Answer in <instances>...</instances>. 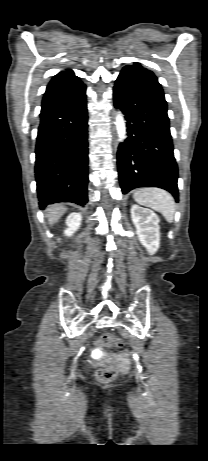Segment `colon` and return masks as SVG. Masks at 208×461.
Masks as SVG:
<instances>
[{
	"label": "colon",
	"instance_id": "colon-1",
	"mask_svg": "<svg viewBox=\"0 0 208 461\" xmlns=\"http://www.w3.org/2000/svg\"><path fill=\"white\" fill-rule=\"evenodd\" d=\"M116 345L118 347H123L124 342L110 333L102 334L98 341L97 345L101 347H106L110 345ZM117 368L113 364L106 365L101 367L96 372V379L103 384L112 382L117 377Z\"/></svg>",
	"mask_w": 208,
	"mask_h": 461
}]
</instances>
